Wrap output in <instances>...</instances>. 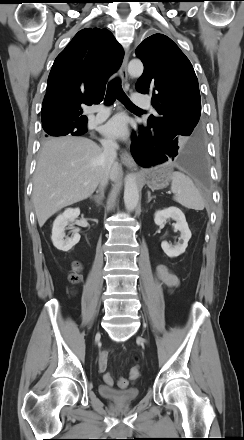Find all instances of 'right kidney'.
Here are the masks:
<instances>
[{"mask_svg":"<svg viewBox=\"0 0 244 440\" xmlns=\"http://www.w3.org/2000/svg\"><path fill=\"white\" fill-rule=\"evenodd\" d=\"M80 215L79 208H68L62 214H60L53 223L52 228V242L53 245L63 252H67L75 246L79 240L80 235L73 230V236L65 238V228L67 225H70L73 228V224H71L78 216Z\"/></svg>","mask_w":244,"mask_h":440,"instance_id":"right-kidney-1","label":"right kidney"}]
</instances>
